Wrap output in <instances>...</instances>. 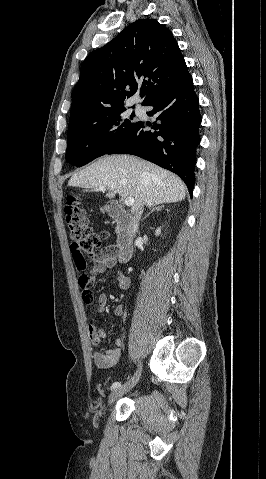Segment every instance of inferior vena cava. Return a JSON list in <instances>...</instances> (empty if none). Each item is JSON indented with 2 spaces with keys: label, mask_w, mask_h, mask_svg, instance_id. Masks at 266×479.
Returning a JSON list of instances; mask_svg holds the SVG:
<instances>
[{
  "label": "inferior vena cava",
  "mask_w": 266,
  "mask_h": 479,
  "mask_svg": "<svg viewBox=\"0 0 266 479\" xmlns=\"http://www.w3.org/2000/svg\"><path fill=\"white\" fill-rule=\"evenodd\" d=\"M143 206L144 205H140L136 210H135V225L133 227V231H134V234L135 232H137V229H138V222L141 218V215L143 213Z\"/></svg>",
  "instance_id": "602c4592"
}]
</instances>
